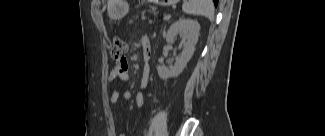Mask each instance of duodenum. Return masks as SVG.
I'll list each match as a JSON object with an SVG mask.
<instances>
[{"label": "duodenum", "instance_id": "obj_1", "mask_svg": "<svg viewBox=\"0 0 325 136\" xmlns=\"http://www.w3.org/2000/svg\"><path fill=\"white\" fill-rule=\"evenodd\" d=\"M143 44V53H144V58L147 59L148 58V45L144 43V41H142Z\"/></svg>", "mask_w": 325, "mask_h": 136}]
</instances>
